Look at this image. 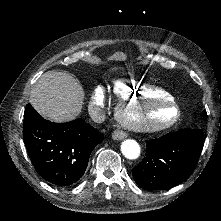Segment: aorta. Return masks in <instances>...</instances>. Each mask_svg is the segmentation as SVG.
Listing matches in <instances>:
<instances>
[{
    "mask_svg": "<svg viewBox=\"0 0 221 221\" xmlns=\"http://www.w3.org/2000/svg\"><path fill=\"white\" fill-rule=\"evenodd\" d=\"M121 152L125 158L133 160L140 156L141 150L139 144L135 140L127 139L121 144Z\"/></svg>",
    "mask_w": 221,
    "mask_h": 221,
    "instance_id": "762f6f07",
    "label": "aorta"
}]
</instances>
